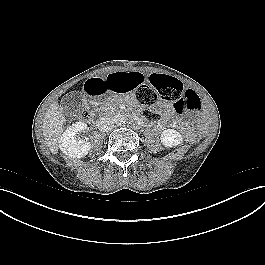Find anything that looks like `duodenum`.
I'll return each instance as SVG.
<instances>
[{"label": "duodenum", "mask_w": 265, "mask_h": 265, "mask_svg": "<svg viewBox=\"0 0 265 265\" xmlns=\"http://www.w3.org/2000/svg\"><path fill=\"white\" fill-rule=\"evenodd\" d=\"M138 122H141L138 118H135Z\"/></svg>", "instance_id": "obj_1"}]
</instances>
